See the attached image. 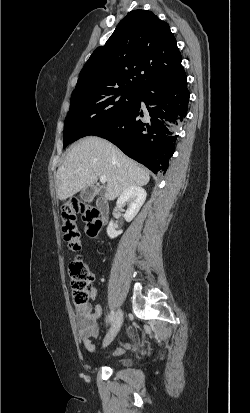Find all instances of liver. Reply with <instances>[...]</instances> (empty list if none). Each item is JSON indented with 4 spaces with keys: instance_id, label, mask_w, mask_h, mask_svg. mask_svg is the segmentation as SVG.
<instances>
[{
    "instance_id": "1",
    "label": "liver",
    "mask_w": 250,
    "mask_h": 413,
    "mask_svg": "<svg viewBox=\"0 0 250 413\" xmlns=\"http://www.w3.org/2000/svg\"><path fill=\"white\" fill-rule=\"evenodd\" d=\"M107 177L105 199L114 200L127 188L144 186L149 172L127 157L109 141L87 136L68 152L56 174V193L64 201L77 192L93 186L100 176Z\"/></svg>"
}]
</instances>
